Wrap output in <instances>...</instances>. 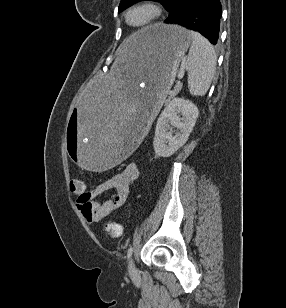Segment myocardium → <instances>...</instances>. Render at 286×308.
Wrapping results in <instances>:
<instances>
[{"label": "myocardium", "mask_w": 286, "mask_h": 308, "mask_svg": "<svg viewBox=\"0 0 286 308\" xmlns=\"http://www.w3.org/2000/svg\"><path fill=\"white\" fill-rule=\"evenodd\" d=\"M138 8L149 9L151 11V16L146 22H144L140 25H134V24H131L129 22V15L133 10L138 9ZM161 13H162V9L156 1H154V0H142L140 2L135 3L134 5H132L127 10V12L125 14V20H126V23L133 28H145V27H148V26L152 25L153 23H155L160 18Z\"/></svg>", "instance_id": "obj_1"}]
</instances>
